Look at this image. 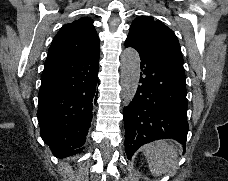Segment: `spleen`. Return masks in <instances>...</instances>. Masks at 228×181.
<instances>
[{"label": "spleen", "mask_w": 228, "mask_h": 181, "mask_svg": "<svg viewBox=\"0 0 228 181\" xmlns=\"http://www.w3.org/2000/svg\"><path fill=\"white\" fill-rule=\"evenodd\" d=\"M143 153L154 177H160L165 173L170 177L175 175L178 165L177 151L167 141H154L144 145Z\"/></svg>", "instance_id": "3e777b00"}]
</instances>
